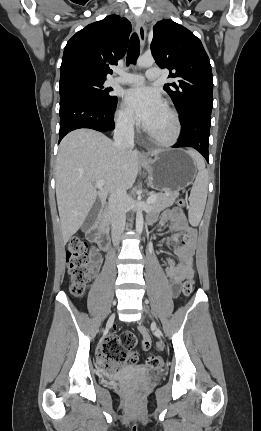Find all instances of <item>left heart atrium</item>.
I'll list each match as a JSON object with an SVG mask.
<instances>
[{
    "label": "left heart atrium",
    "mask_w": 261,
    "mask_h": 431,
    "mask_svg": "<svg viewBox=\"0 0 261 431\" xmlns=\"http://www.w3.org/2000/svg\"><path fill=\"white\" fill-rule=\"evenodd\" d=\"M124 101L138 122L148 128L165 108L160 93L150 87L139 86L126 91Z\"/></svg>",
    "instance_id": "left-heart-atrium-1"
}]
</instances>
